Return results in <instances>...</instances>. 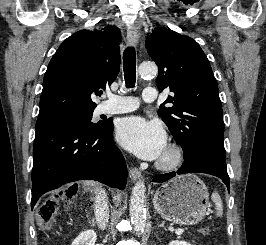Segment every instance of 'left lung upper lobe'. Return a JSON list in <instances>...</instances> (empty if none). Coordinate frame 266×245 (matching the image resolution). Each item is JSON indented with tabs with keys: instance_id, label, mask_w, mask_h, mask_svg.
<instances>
[{
	"instance_id": "left-lung-upper-lobe-1",
	"label": "left lung upper lobe",
	"mask_w": 266,
	"mask_h": 245,
	"mask_svg": "<svg viewBox=\"0 0 266 245\" xmlns=\"http://www.w3.org/2000/svg\"><path fill=\"white\" fill-rule=\"evenodd\" d=\"M148 54L159 68L156 85L170 87L158 115L189 157L201 140L223 143L224 122L217 81L209 60L192 38L157 27L147 36ZM165 103L173 106L166 108Z\"/></svg>"
}]
</instances>
